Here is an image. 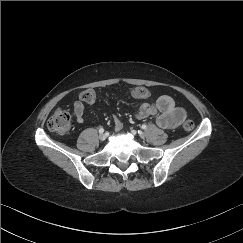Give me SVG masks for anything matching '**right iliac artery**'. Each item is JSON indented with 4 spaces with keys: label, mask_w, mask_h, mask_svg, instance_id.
<instances>
[{
    "label": "right iliac artery",
    "mask_w": 243,
    "mask_h": 243,
    "mask_svg": "<svg viewBox=\"0 0 243 243\" xmlns=\"http://www.w3.org/2000/svg\"><path fill=\"white\" fill-rule=\"evenodd\" d=\"M104 132V129L103 128H100L99 129V133H103Z\"/></svg>",
    "instance_id": "1"
}]
</instances>
